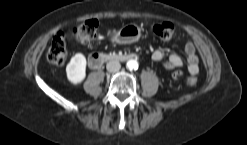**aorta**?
Masks as SVG:
<instances>
[{
    "label": "aorta",
    "mask_w": 247,
    "mask_h": 145,
    "mask_svg": "<svg viewBox=\"0 0 247 145\" xmlns=\"http://www.w3.org/2000/svg\"><path fill=\"white\" fill-rule=\"evenodd\" d=\"M127 68L130 69V70H136V69H138V62H137V60H134V59L129 60L127 62Z\"/></svg>",
    "instance_id": "1"
}]
</instances>
